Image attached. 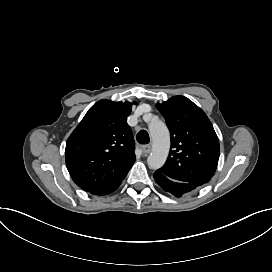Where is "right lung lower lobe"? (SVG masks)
I'll use <instances>...</instances> for the list:
<instances>
[{
    "label": "right lung lower lobe",
    "instance_id": "right-lung-lower-lobe-1",
    "mask_svg": "<svg viewBox=\"0 0 272 272\" xmlns=\"http://www.w3.org/2000/svg\"><path fill=\"white\" fill-rule=\"evenodd\" d=\"M121 181L119 183L115 184L114 186L108 188V189H105V190H102V191H99V192H95V193H91V194L100 195V196L108 195V194L112 193L113 191H115L119 187V185L121 184Z\"/></svg>",
    "mask_w": 272,
    "mask_h": 272
}]
</instances>
